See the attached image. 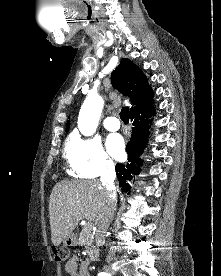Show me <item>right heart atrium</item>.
<instances>
[{
    "label": "right heart atrium",
    "mask_w": 221,
    "mask_h": 276,
    "mask_svg": "<svg viewBox=\"0 0 221 276\" xmlns=\"http://www.w3.org/2000/svg\"><path fill=\"white\" fill-rule=\"evenodd\" d=\"M66 159L71 174L78 178H95L114 169V163L95 138L74 137L67 146Z\"/></svg>",
    "instance_id": "right-heart-atrium-1"
}]
</instances>
